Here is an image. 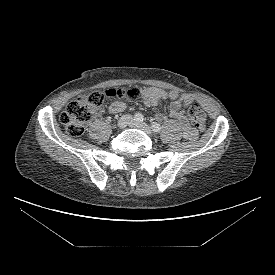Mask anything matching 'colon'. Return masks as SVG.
I'll list each match as a JSON object with an SVG mask.
<instances>
[{"label": "colon", "instance_id": "1", "mask_svg": "<svg viewBox=\"0 0 275 275\" xmlns=\"http://www.w3.org/2000/svg\"><path fill=\"white\" fill-rule=\"evenodd\" d=\"M136 95V90L109 89L105 92H94L68 103L59 119L66 132L77 137L84 133L86 123L96 116L106 97L133 99ZM189 115L197 130H205L206 115L198 105L189 108Z\"/></svg>", "mask_w": 275, "mask_h": 275}]
</instances>
